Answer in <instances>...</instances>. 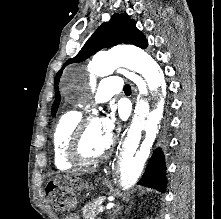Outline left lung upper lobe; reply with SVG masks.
Instances as JSON below:
<instances>
[{
	"instance_id": "left-lung-upper-lobe-1",
	"label": "left lung upper lobe",
	"mask_w": 221,
	"mask_h": 219,
	"mask_svg": "<svg viewBox=\"0 0 221 219\" xmlns=\"http://www.w3.org/2000/svg\"><path fill=\"white\" fill-rule=\"evenodd\" d=\"M133 44L141 48L147 47L145 36L136 28V22L129 18L127 13L112 15L109 22L103 23L85 43L79 53L69 59L55 77L56 98L52 106V115L57 112L60 103L58 84L63 68L70 64L84 61L103 48H109L118 44Z\"/></svg>"
}]
</instances>
